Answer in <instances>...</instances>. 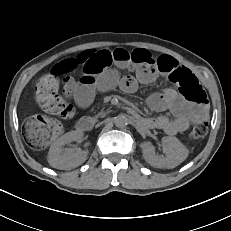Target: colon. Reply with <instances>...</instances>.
Masks as SVG:
<instances>
[{"instance_id": "obj_1", "label": "colon", "mask_w": 231, "mask_h": 231, "mask_svg": "<svg viewBox=\"0 0 231 231\" xmlns=\"http://www.w3.org/2000/svg\"><path fill=\"white\" fill-rule=\"evenodd\" d=\"M139 53V50H133L131 58L134 59ZM66 73H68L67 69L61 63H58L36 85V102L47 115H36L26 125V142L35 150L48 147L60 133L61 123L55 117L66 119L73 113L72 106L58 94L60 79L64 78ZM67 79L65 80L67 81ZM170 80L178 86L180 92L188 99L200 103L206 102V95L192 73L178 70L171 75ZM207 130L208 123L205 120L200 121L193 127L189 137L192 140H198L206 135Z\"/></svg>"}]
</instances>
